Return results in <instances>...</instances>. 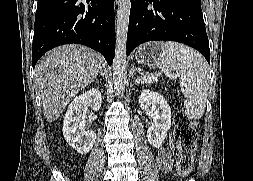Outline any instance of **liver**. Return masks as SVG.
Wrapping results in <instances>:
<instances>
[{
  "mask_svg": "<svg viewBox=\"0 0 253 181\" xmlns=\"http://www.w3.org/2000/svg\"><path fill=\"white\" fill-rule=\"evenodd\" d=\"M102 68L101 54L83 45H63L47 52L36 64L34 75L46 120H57Z\"/></svg>",
  "mask_w": 253,
  "mask_h": 181,
  "instance_id": "obj_1",
  "label": "liver"
}]
</instances>
